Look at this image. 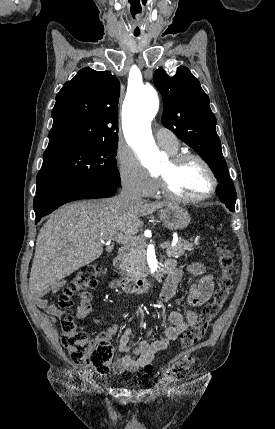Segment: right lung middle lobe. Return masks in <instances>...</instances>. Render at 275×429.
Returning <instances> with one entry per match:
<instances>
[{
	"label": "right lung middle lobe",
	"mask_w": 275,
	"mask_h": 429,
	"mask_svg": "<svg viewBox=\"0 0 275 429\" xmlns=\"http://www.w3.org/2000/svg\"><path fill=\"white\" fill-rule=\"evenodd\" d=\"M118 141L97 144H72L45 151L37 175L36 194L54 186L92 180L111 186L121 184L116 163Z\"/></svg>",
	"instance_id": "1"
}]
</instances>
